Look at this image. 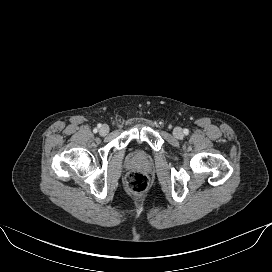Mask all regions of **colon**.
<instances>
[{"label":"colon","instance_id":"colon-1","mask_svg":"<svg viewBox=\"0 0 272 272\" xmlns=\"http://www.w3.org/2000/svg\"><path fill=\"white\" fill-rule=\"evenodd\" d=\"M125 186L130 193L140 195L148 189L149 179L142 173L131 172L125 178Z\"/></svg>","mask_w":272,"mask_h":272}]
</instances>
